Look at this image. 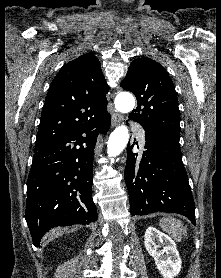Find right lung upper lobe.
<instances>
[{"label":"right lung upper lobe","instance_id":"cb5924a9","mask_svg":"<svg viewBox=\"0 0 221 278\" xmlns=\"http://www.w3.org/2000/svg\"><path fill=\"white\" fill-rule=\"evenodd\" d=\"M108 90L94 55L84 54L64 64L47 93L35 149L80 124L108 116Z\"/></svg>","mask_w":221,"mask_h":278}]
</instances>
